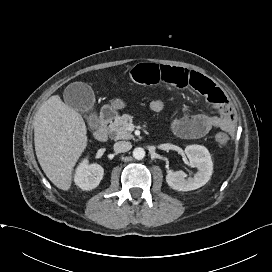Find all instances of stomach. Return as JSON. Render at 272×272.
<instances>
[{"label":"stomach","mask_w":272,"mask_h":272,"mask_svg":"<svg viewBox=\"0 0 272 272\" xmlns=\"http://www.w3.org/2000/svg\"><path fill=\"white\" fill-rule=\"evenodd\" d=\"M111 107L116 110H121L126 107V103L122 99H114L111 103Z\"/></svg>","instance_id":"obj_1"}]
</instances>
